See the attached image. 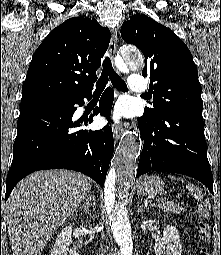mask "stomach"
<instances>
[{"label":"stomach","instance_id":"obj_1","mask_svg":"<svg viewBox=\"0 0 221 255\" xmlns=\"http://www.w3.org/2000/svg\"><path fill=\"white\" fill-rule=\"evenodd\" d=\"M164 183L154 175L144 176L137 181V192L140 195H156L163 191Z\"/></svg>","mask_w":221,"mask_h":255}]
</instances>
